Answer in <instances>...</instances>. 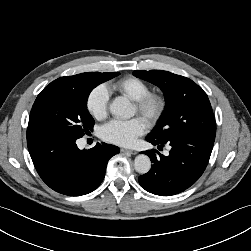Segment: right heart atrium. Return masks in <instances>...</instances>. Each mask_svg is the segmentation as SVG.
Instances as JSON below:
<instances>
[{
	"label": "right heart atrium",
	"instance_id": "obj_1",
	"mask_svg": "<svg viewBox=\"0 0 251 251\" xmlns=\"http://www.w3.org/2000/svg\"><path fill=\"white\" fill-rule=\"evenodd\" d=\"M109 105V92L104 85H99L92 89L86 100V108L89 114L101 120L106 117Z\"/></svg>",
	"mask_w": 251,
	"mask_h": 251
}]
</instances>
